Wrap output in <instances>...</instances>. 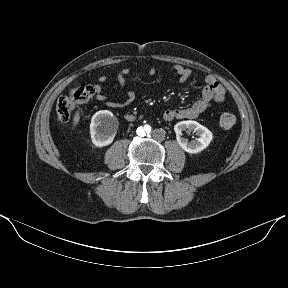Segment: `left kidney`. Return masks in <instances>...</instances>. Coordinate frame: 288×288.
I'll return each instance as SVG.
<instances>
[{"instance_id":"5707ae66","label":"left kidney","mask_w":288,"mask_h":288,"mask_svg":"<svg viewBox=\"0 0 288 288\" xmlns=\"http://www.w3.org/2000/svg\"><path fill=\"white\" fill-rule=\"evenodd\" d=\"M196 132L198 138L192 141H188L187 138L182 137L183 131ZM174 131L176 133V139L180 147L188 153H198L204 150L212 141V132L199 124L196 121L187 120L178 122L174 126Z\"/></svg>"}]
</instances>
